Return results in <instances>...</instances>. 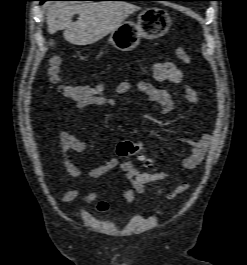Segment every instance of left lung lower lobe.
Returning <instances> with one entry per match:
<instances>
[{
  "label": "left lung lower lobe",
  "instance_id": "0a47b994",
  "mask_svg": "<svg viewBox=\"0 0 247 265\" xmlns=\"http://www.w3.org/2000/svg\"><path fill=\"white\" fill-rule=\"evenodd\" d=\"M169 1H199V0H169Z\"/></svg>",
  "mask_w": 247,
  "mask_h": 265
}]
</instances>
